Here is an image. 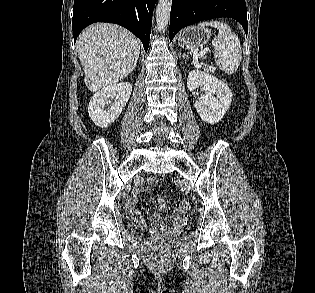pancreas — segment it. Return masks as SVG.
Masks as SVG:
<instances>
[{"instance_id":"pancreas-1","label":"pancreas","mask_w":315,"mask_h":293,"mask_svg":"<svg viewBox=\"0 0 315 293\" xmlns=\"http://www.w3.org/2000/svg\"><path fill=\"white\" fill-rule=\"evenodd\" d=\"M204 70L207 71V72L214 73L215 67H213V66H205Z\"/></svg>"}]
</instances>
